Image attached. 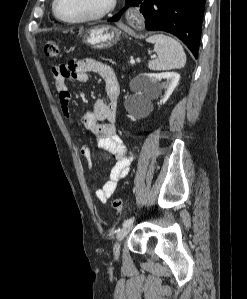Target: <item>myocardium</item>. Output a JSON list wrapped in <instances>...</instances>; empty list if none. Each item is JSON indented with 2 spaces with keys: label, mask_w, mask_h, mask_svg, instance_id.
Segmentation results:
<instances>
[{
  "label": "myocardium",
  "mask_w": 247,
  "mask_h": 299,
  "mask_svg": "<svg viewBox=\"0 0 247 299\" xmlns=\"http://www.w3.org/2000/svg\"><path fill=\"white\" fill-rule=\"evenodd\" d=\"M59 0H54L53 5H52V11L54 16L61 22L66 23V24H80V23H86V22H91V21H96L99 20L103 17H105L115 6L116 0H107L105 5L96 13L84 16L81 18H76V19H66L63 18L57 11V4Z\"/></svg>",
  "instance_id": "myocardium-1"
}]
</instances>
